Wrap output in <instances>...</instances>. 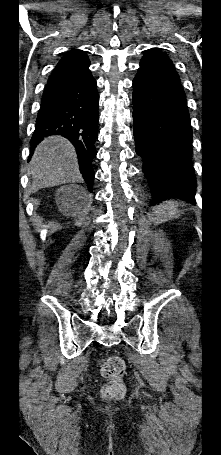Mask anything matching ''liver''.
<instances>
[{
  "mask_svg": "<svg viewBox=\"0 0 221 455\" xmlns=\"http://www.w3.org/2000/svg\"><path fill=\"white\" fill-rule=\"evenodd\" d=\"M30 174L35 191L80 180L74 147L61 136L45 138L35 150Z\"/></svg>",
  "mask_w": 221,
  "mask_h": 455,
  "instance_id": "liver-1",
  "label": "liver"
}]
</instances>
